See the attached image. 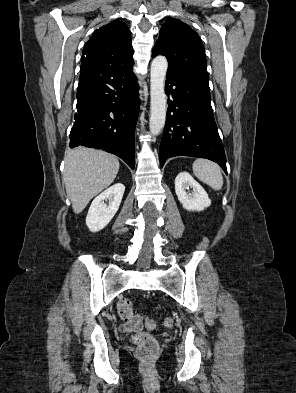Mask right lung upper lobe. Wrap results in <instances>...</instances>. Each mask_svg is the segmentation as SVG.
<instances>
[{
    "instance_id": "cb5924a9",
    "label": "right lung upper lobe",
    "mask_w": 296,
    "mask_h": 393,
    "mask_svg": "<svg viewBox=\"0 0 296 393\" xmlns=\"http://www.w3.org/2000/svg\"><path fill=\"white\" fill-rule=\"evenodd\" d=\"M81 62L100 66L134 62L131 36L126 24L114 20L97 29L84 46Z\"/></svg>"
}]
</instances>
